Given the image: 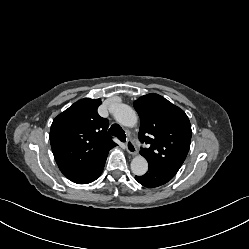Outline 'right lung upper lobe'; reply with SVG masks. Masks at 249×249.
Masks as SVG:
<instances>
[{"label":"right lung upper lobe","instance_id":"obj_1","mask_svg":"<svg viewBox=\"0 0 249 249\" xmlns=\"http://www.w3.org/2000/svg\"><path fill=\"white\" fill-rule=\"evenodd\" d=\"M100 104V99H81L51 125L50 143L56 163L68 179L78 184L92 182L109 150L117 145L106 134L108 121L97 112Z\"/></svg>","mask_w":249,"mask_h":249}]
</instances>
